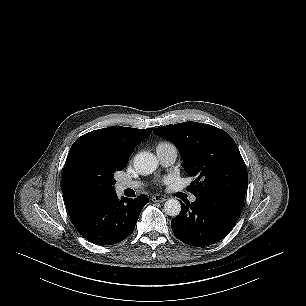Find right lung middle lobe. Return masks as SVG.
Listing matches in <instances>:
<instances>
[{
    "mask_svg": "<svg viewBox=\"0 0 306 306\" xmlns=\"http://www.w3.org/2000/svg\"><path fill=\"white\" fill-rule=\"evenodd\" d=\"M127 162L107 156L79 152L68 168L71 185L84 194H97L104 191L114 192V174L125 168Z\"/></svg>",
    "mask_w": 306,
    "mask_h": 306,
    "instance_id": "right-lung-middle-lobe-1",
    "label": "right lung middle lobe"
}]
</instances>
